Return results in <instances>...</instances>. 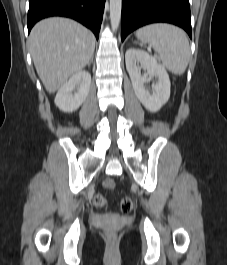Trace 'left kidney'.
<instances>
[{
    "label": "left kidney",
    "mask_w": 227,
    "mask_h": 265,
    "mask_svg": "<svg viewBox=\"0 0 227 265\" xmlns=\"http://www.w3.org/2000/svg\"><path fill=\"white\" fill-rule=\"evenodd\" d=\"M125 62L137 98L148 111L153 113L159 111L170 97L171 84L166 69L154 57L139 49H128L125 54ZM140 68L147 71V77L140 75ZM154 77L158 81L154 85L153 93H150L144 83Z\"/></svg>",
    "instance_id": "1"
}]
</instances>
